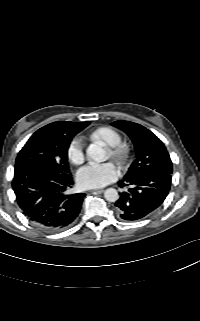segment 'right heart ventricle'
Wrapping results in <instances>:
<instances>
[{
	"mask_svg": "<svg viewBox=\"0 0 200 321\" xmlns=\"http://www.w3.org/2000/svg\"><path fill=\"white\" fill-rule=\"evenodd\" d=\"M93 139L102 141L105 145L111 147L121 142V134L112 127L103 126L94 130L91 134Z\"/></svg>",
	"mask_w": 200,
	"mask_h": 321,
	"instance_id": "1",
	"label": "right heart ventricle"
}]
</instances>
